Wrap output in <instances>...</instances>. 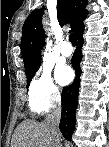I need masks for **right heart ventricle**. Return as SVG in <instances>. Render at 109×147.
I'll return each instance as SVG.
<instances>
[{
  "label": "right heart ventricle",
  "mask_w": 109,
  "mask_h": 147,
  "mask_svg": "<svg viewBox=\"0 0 109 147\" xmlns=\"http://www.w3.org/2000/svg\"><path fill=\"white\" fill-rule=\"evenodd\" d=\"M30 107L33 111L40 112L39 109L34 104L30 103Z\"/></svg>",
  "instance_id": "right-heart-ventricle-1"
}]
</instances>
